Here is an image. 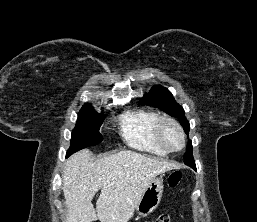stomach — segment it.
<instances>
[{
  "label": "stomach",
  "instance_id": "1",
  "mask_svg": "<svg viewBox=\"0 0 257 222\" xmlns=\"http://www.w3.org/2000/svg\"><path fill=\"white\" fill-rule=\"evenodd\" d=\"M163 193L162 177H155L142 194L136 211L139 216L145 217L152 213L159 205Z\"/></svg>",
  "mask_w": 257,
  "mask_h": 222
}]
</instances>
